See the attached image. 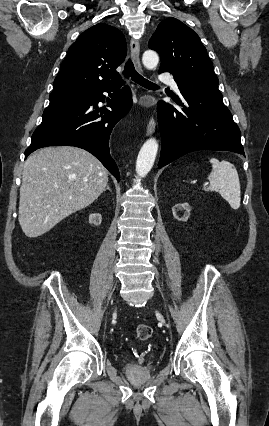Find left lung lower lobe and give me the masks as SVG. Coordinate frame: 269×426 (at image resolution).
<instances>
[{
  "instance_id": "left-lung-lower-lobe-1",
  "label": "left lung lower lobe",
  "mask_w": 269,
  "mask_h": 426,
  "mask_svg": "<svg viewBox=\"0 0 269 426\" xmlns=\"http://www.w3.org/2000/svg\"><path fill=\"white\" fill-rule=\"evenodd\" d=\"M167 71L160 69L159 73ZM172 74L186 104L180 102L182 108L178 110L163 101L158 103L162 139L158 167L197 150H225L245 155L240 130L223 103L218 84L197 85L191 79Z\"/></svg>"
}]
</instances>
